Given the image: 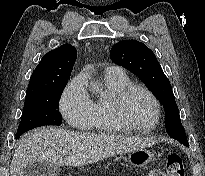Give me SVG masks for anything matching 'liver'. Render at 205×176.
<instances>
[{"instance_id": "6515ba94", "label": "liver", "mask_w": 205, "mask_h": 176, "mask_svg": "<svg viewBox=\"0 0 205 176\" xmlns=\"http://www.w3.org/2000/svg\"><path fill=\"white\" fill-rule=\"evenodd\" d=\"M150 145V141L137 138L40 128L23 137L12 158L10 176H24V169L32 162L79 167ZM63 151L69 155L63 158Z\"/></svg>"}]
</instances>
